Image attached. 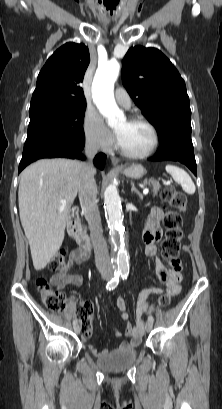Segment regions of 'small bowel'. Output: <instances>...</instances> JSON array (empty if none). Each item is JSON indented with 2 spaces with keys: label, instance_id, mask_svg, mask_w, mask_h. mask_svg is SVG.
I'll return each mask as SVG.
<instances>
[{
  "label": "small bowel",
  "instance_id": "obj_1",
  "mask_svg": "<svg viewBox=\"0 0 222 409\" xmlns=\"http://www.w3.org/2000/svg\"><path fill=\"white\" fill-rule=\"evenodd\" d=\"M162 217L163 211L159 207L154 206L151 208L143 232L144 253L148 257L155 258L156 273L159 280L164 284L166 293L171 296H177L181 292L180 284L183 278L181 274L182 258L181 256H170L169 263L172 266L171 268H167L157 255L156 242L162 237V229L159 225ZM87 259L88 254H85L82 250L73 249L70 252L65 267L50 278V284L57 287L59 290L64 289L68 285H81L82 277L71 274L70 270L74 265H79ZM164 288L157 286L151 289H145L138 294L135 304L136 322L134 324L129 322L126 301L120 296L116 298L115 303L120 311V318L126 323V325L123 332L115 329V336L118 338L126 337L128 339L127 341L122 342L119 348L134 347L140 343L144 331L143 315L146 314V310L150 306V297L155 294H161ZM90 351L94 356L101 357L110 353L109 349L106 348L98 350L95 347H90Z\"/></svg>",
  "mask_w": 222,
  "mask_h": 409
}]
</instances>
